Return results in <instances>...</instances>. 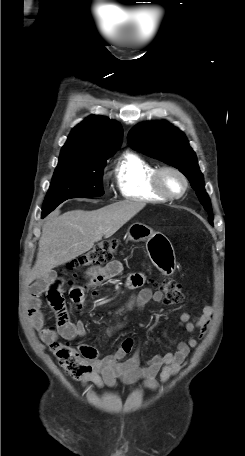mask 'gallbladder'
<instances>
[{"label":"gallbladder","mask_w":245,"mask_h":456,"mask_svg":"<svg viewBox=\"0 0 245 456\" xmlns=\"http://www.w3.org/2000/svg\"><path fill=\"white\" fill-rule=\"evenodd\" d=\"M57 275L55 271H51L47 279H40L39 283L42 287L46 288L49 285V282H52L56 279Z\"/></svg>","instance_id":"bac80fb5"}]
</instances>
